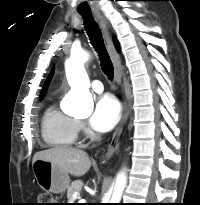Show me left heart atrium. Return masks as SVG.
<instances>
[{
	"label": "left heart atrium",
	"mask_w": 200,
	"mask_h": 205,
	"mask_svg": "<svg viewBox=\"0 0 200 205\" xmlns=\"http://www.w3.org/2000/svg\"><path fill=\"white\" fill-rule=\"evenodd\" d=\"M119 118V103L112 95L106 94L97 100L90 124L97 131L106 132L117 124Z\"/></svg>",
	"instance_id": "obj_1"
}]
</instances>
